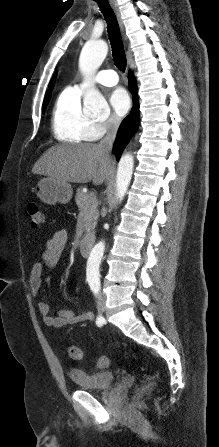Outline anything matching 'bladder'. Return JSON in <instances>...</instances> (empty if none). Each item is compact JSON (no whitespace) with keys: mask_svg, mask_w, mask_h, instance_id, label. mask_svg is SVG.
I'll list each match as a JSON object with an SVG mask.
<instances>
[{"mask_svg":"<svg viewBox=\"0 0 219 447\" xmlns=\"http://www.w3.org/2000/svg\"><path fill=\"white\" fill-rule=\"evenodd\" d=\"M68 374L79 389L86 391L105 390L114 381V374L109 371L89 373L79 369H70Z\"/></svg>","mask_w":219,"mask_h":447,"instance_id":"bladder-1","label":"bladder"}]
</instances>
